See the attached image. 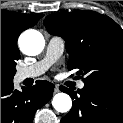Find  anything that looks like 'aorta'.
Returning <instances> with one entry per match:
<instances>
[{
  "instance_id": "obj_1",
  "label": "aorta",
  "mask_w": 123,
  "mask_h": 123,
  "mask_svg": "<svg viewBox=\"0 0 123 123\" xmlns=\"http://www.w3.org/2000/svg\"><path fill=\"white\" fill-rule=\"evenodd\" d=\"M45 40L42 34L36 30H28L20 37V47L24 54L38 55L44 48ZM52 105L58 112L70 111L72 100L66 93H58L53 97Z\"/></svg>"
}]
</instances>
